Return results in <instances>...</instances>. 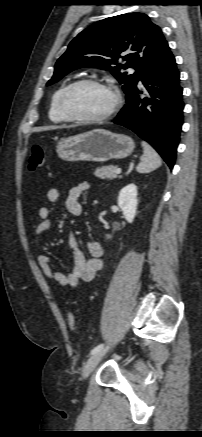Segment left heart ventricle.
I'll return each instance as SVG.
<instances>
[{"instance_id":"left-heart-ventricle-1","label":"left heart ventricle","mask_w":202,"mask_h":437,"mask_svg":"<svg viewBox=\"0 0 202 437\" xmlns=\"http://www.w3.org/2000/svg\"><path fill=\"white\" fill-rule=\"evenodd\" d=\"M113 100L110 91L93 85H83L71 93L67 104L75 115L96 117L106 113L112 106Z\"/></svg>"}]
</instances>
